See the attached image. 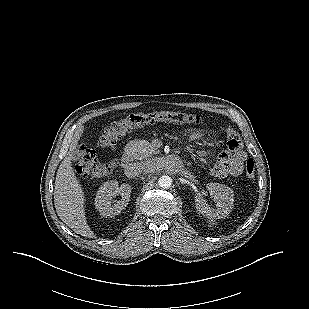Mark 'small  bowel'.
<instances>
[{
  "mask_svg": "<svg viewBox=\"0 0 309 309\" xmlns=\"http://www.w3.org/2000/svg\"><path fill=\"white\" fill-rule=\"evenodd\" d=\"M228 149L221 152L218 156L217 162L212 168V174L216 177H236L243 171L244 162L247 159V154L241 149V143L238 148L229 145V140L238 137L236 132L232 129H227ZM202 137L200 130H194L190 138L191 140H199Z\"/></svg>",
  "mask_w": 309,
  "mask_h": 309,
  "instance_id": "obj_1",
  "label": "small bowel"
}]
</instances>
